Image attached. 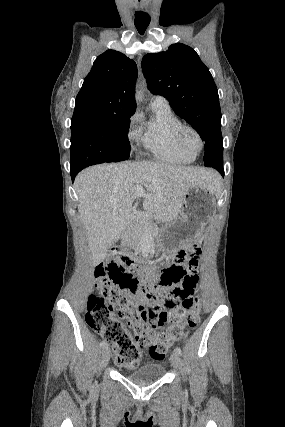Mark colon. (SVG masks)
Instances as JSON below:
<instances>
[{"mask_svg":"<svg viewBox=\"0 0 285 427\" xmlns=\"http://www.w3.org/2000/svg\"><path fill=\"white\" fill-rule=\"evenodd\" d=\"M194 254V247L188 245V250L177 251L173 263L162 271L148 270L145 280L139 278L141 266L122 254H114L106 267L95 269L97 294L87 296L85 320L113 347L118 364L136 368L143 351L153 360H163L169 346L183 339L185 329L195 328L200 301L189 290L196 285L198 275L188 273L182 265ZM178 287L183 292L163 315L165 325L158 328L148 324L151 303L166 291L178 295Z\"/></svg>","mask_w":285,"mask_h":427,"instance_id":"obj_1","label":"colon"}]
</instances>
